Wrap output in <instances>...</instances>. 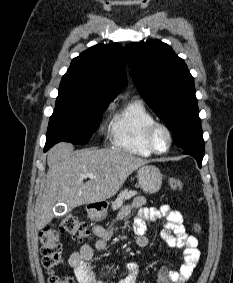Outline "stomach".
Returning <instances> with one entry per match:
<instances>
[{
  "instance_id": "obj_1",
  "label": "stomach",
  "mask_w": 233,
  "mask_h": 283,
  "mask_svg": "<svg viewBox=\"0 0 233 283\" xmlns=\"http://www.w3.org/2000/svg\"><path fill=\"white\" fill-rule=\"evenodd\" d=\"M162 178L160 170L153 165H144L137 170L138 185L149 194L157 193L160 190ZM88 214L92 219L98 220L107 215V210L89 209Z\"/></svg>"
}]
</instances>
